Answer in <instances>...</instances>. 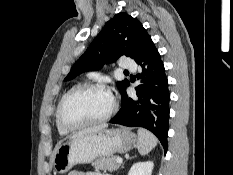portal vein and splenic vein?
<instances>
[{"label":"portal vein and splenic vein","mask_w":233,"mask_h":175,"mask_svg":"<svg viewBox=\"0 0 233 175\" xmlns=\"http://www.w3.org/2000/svg\"><path fill=\"white\" fill-rule=\"evenodd\" d=\"M116 162H117V163H122V162H123V159L120 158V157H118V158L116 159Z\"/></svg>","instance_id":"18ae733b"}]
</instances>
